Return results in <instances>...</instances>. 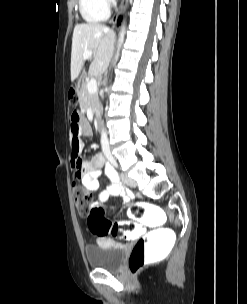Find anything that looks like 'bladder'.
<instances>
[{"mask_svg":"<svg viewBox=\"0 0 247 304\" xmlns=\"http://www.w3.org/2000/svg\"><path fill=\"white\" fill-rule=\"evenodd\" d=\"M126 251L125 245L108 242L87 246L85 254L90 268L117 271L124 262Z\"/></svg>","mask_w":247,"mask_h":304,"instance_id":"obj_1","label":"bladder"}]
</instances>
